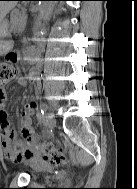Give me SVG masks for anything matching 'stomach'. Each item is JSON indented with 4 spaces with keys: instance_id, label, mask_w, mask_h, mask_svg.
Returning a JSON list of instances; mask_svg holds the SVG:
<instances>
[{
    "instance_id": "stomach-1",
    "label": "stomach",
    "mask_w": 137,
    "mask_h": 189,
    "mask_svg": "<svg viewBox=\"0 0 137 189\" xmlns=\"http://www.w3.org/2000/svg\"><path fill=\"white\" fill-rule=\"evenodd\" d=\"M8 35V22L4 20L2 25H0V54L6 52L7 47L10 44V41L5 39Z\"/></svg>"
}]
</instances>
